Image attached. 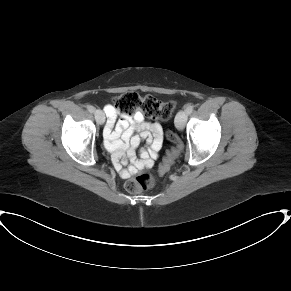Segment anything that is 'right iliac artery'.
<instances>
[{
	"mask_svg": "<svg viewBox=\"0 0 291 291\" xmlns=\"http://www.w3.org/2000/svg\"><path fill=\"white\" fill-rule=\"evenodd\" d=\"M87 109H88V111L91 112V113H93V112L95 111V108H94L93 106H91V105H89V106L87 107Z\"/></svg>",
	"mask_w": 291,
	"mask_h": 291,
	"instance_id": "right-iliac-artery-1",
	"label": "right iliac artery"
}]
</instances>
